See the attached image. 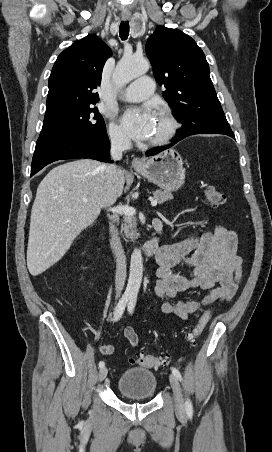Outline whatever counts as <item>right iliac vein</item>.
<instances>
[{
  "label": "right iliac vein",
  "instance_id": "1",
  "mask_svg": "<svg viewBox=\"0 0 272 452\" xmlns=\"http://www.w3.org/2000/svg\"><path fill=\"white\" fill-rule=\"evenodd\" d=\"M108 370L106 367H102L99 371V380L102 381L106 378Z\"/></svg>",
  "mask_w": 272,
  "mask_h": 452
}]
</instances>
